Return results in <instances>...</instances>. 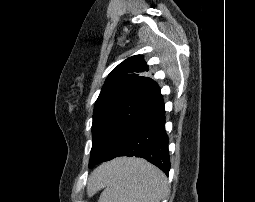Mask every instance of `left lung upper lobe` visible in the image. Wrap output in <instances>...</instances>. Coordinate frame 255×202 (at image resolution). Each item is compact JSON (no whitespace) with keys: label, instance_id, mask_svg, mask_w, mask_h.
Wrapping results in <instances>:
<instances>
[{"label":"left lung upper lobe","instance_id":"5c2ea615","mask_svg":"<svg viewBox=\"0 0 255 202\" xmlns=\"http://www.w3.org/2000/svg\"><path fill=\"white\" fill-rule=\"evenodd\" d=\"M141 55L127 58L107 77L93 112L89 167L113 159L140 124L163 103Z\"/></svg>","mask_w":255,"mask_h":202}]
</instances>
